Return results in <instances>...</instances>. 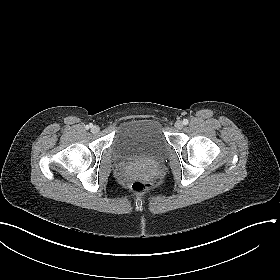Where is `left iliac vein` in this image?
Wrapping results in <instances>:
<instances>
[{
  "instance_id": "1",
  "label": "left iliac vein",
  "mask_w": 280,
  "mask_h": 280,
  "mask_svg": "<svg viewBox=\"0 0 280 280\" xmlns=\"http://www.w3.org/2000/svg\"><path fill=\"white\" fill-rule=\"evenodd\" d=\"M174 126H175L176 129L180 130V129L183 128V122L178 120V121L175 122Z\"/></svg>"
}]
</instances>
